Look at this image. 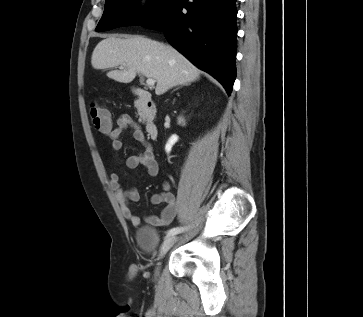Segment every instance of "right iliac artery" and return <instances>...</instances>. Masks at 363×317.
Returning a JSON list of instances; mask_svg holds the SVG:
<instances>
[{
  "label": "right iliac artery",
  "instance_id": "1",
  "mask_svg": "<svg viewBox=\"0 0 363 317\" xmlns=\"http://www.w3.org/2000/svg\"><path fill=\"white\" fill-rule=\"evenodd\" d=\"M184 228L183 227H175V228H172L170 229L168 232H167V236H170V235H174V234H178L180 233L181 231H183Z\"/></svg>",
  "mask_w": 363,
  "mask_h": 317
}]
</instances>
